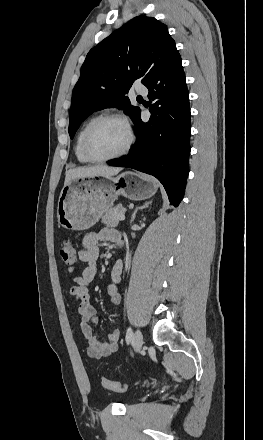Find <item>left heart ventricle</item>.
I'll return each mask as SVG.
<instances>
[{"mask_svg": "<svg viewBox=\"0 0 263 440\" xmlns=\"http://www.w3.org/2000/svg\"><path fill=\"white\" fill-rule=\"evenodd\" d=\"M125 142L124 127L118 122L107 121L95 130L91 140V148L95 154L107 156L119 151Z\"/></svg>", "mask_w": 263, "mask_h": 440, "instance_id": "1", "label": "left heart ventricle"}]
</instances>
